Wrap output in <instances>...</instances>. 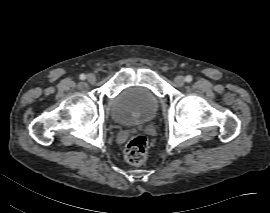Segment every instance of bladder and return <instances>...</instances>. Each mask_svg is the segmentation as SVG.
I'll return each instance as SVG.
<instances>
[{"label":"bladder","instance_id":"obj_1","mask_svg":"<svg viewBox=\"0 0 270 213\" xmlns=\"http://www.w3.org/2000/svg\"><path fill=\"white\" fill-rule=\"evenodd\" d=\"M159 105V97L152 90L132 86L123 88L113 97L109 115L118 124H141L155 116Z\"/></svg>","mask_w":270,"mask_h":213}]
</instances>
